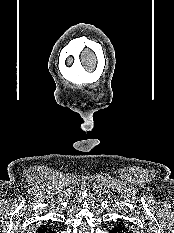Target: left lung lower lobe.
<instances>
[{
	"instance_id": "0a47b994",
	"label": "left lung lower lobe",
	"mask_w": 174,
	"mask_h": 233,
	"mask_svg": "<svg viewBox=\"0 0 174 233\" xmlns=\"http://www.w3.org/2000/svg\"><path fill=\"white\" fill-rule=\"evenodd\" d=\"M108 233H132V231L119 219L117 220V224L111 228Z\"/></svg>"
}]
</instances>
